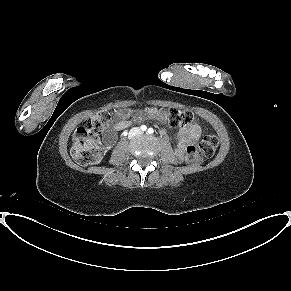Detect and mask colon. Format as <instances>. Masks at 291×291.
<instances>
[{
	"label": "colon",
	"mask_w": 291,
	"mask_h": 291,
	"mask_svg": "<svg viewBox=\"0 0 291 291\" xmlns=\"http://www.w3.org/2000/svg\"><path fill=\"white\" fill-rule=\"evenodd\" d=\"M161 117L173 127H184L193 122L192 113L175 108L159 111ZM111 119L110 113L94 114L79 126L74 134L71 146V156L80 165H91L100 162L102 151L97 143L98 136L105 131ZM219 139L215 134H207L198 147L189 146L185 153V163L188 166L200 164L205 158L211 157Z\"/></svg>",
	"instance_id": "obj_1"
}]
</instances>
